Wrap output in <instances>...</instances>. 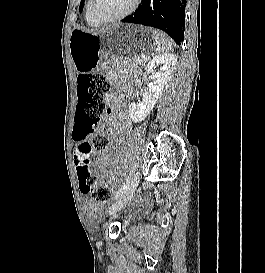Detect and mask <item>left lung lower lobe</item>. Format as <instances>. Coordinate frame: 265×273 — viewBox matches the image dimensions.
<instances>
[{
  "instance_id": "left-lung-lower-lobe-1",
  "label": "left lung lower lobe",
  "mask_w": 265,
  "mask_h": 273,
  "mask_svg": "<svg viewBox=\"0 0 265 273\" xmlns=\"http://www.w3.org/2000/svg\"><path fill=\"white\" fill-rule=\"evenodd\" d=\"M185 7L186 0H143L139 9L122 22L161 29L180 45L184 40Z\"/></svg>"
}]
</instances>
